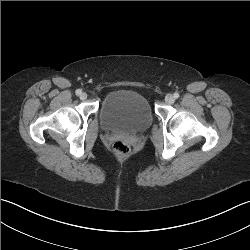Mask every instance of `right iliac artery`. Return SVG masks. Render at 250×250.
I'll return each instance as SVG.
<instances>
[{"label":"right iliac artery","mask_w":250,"mask_h":250,"mask_svg":"<svg viewBox=\"0 0 250 250\" xmlns=\"http://www.w3.org/2000/svg\"><path fill=\"white\" fill-rule=\"evenodd\" d=\"M75 93H76V95L79 96V95H81L82 91L80 89H77Z\"/></svg>","instance_id":"1"}]
</instances>
